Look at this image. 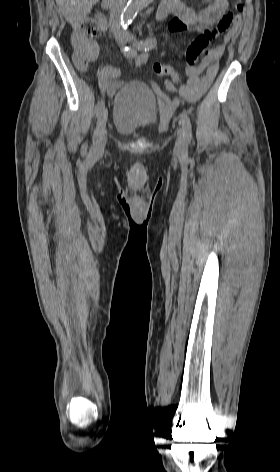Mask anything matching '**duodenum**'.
Listing matches in <instances>:
<instances>
[{
	"instance_id": "duodenum-1",
	"label": "duodenum",
	"mask_w": 280,
	"mask_h": 472,
	"mask_svg": "<svg viewBox=\"0 0 280 472\" xmlns=\"http://www.w3.org/2000/svg\"><path fill=\"white\" fill-rule=\"evenodd\" d=\"M113 3H114V0H102V5L105 9H110ZM167 15H168V9L160 5L156 13V19L163 20L167 17Z\"/></svg>"
}]
</instances>
